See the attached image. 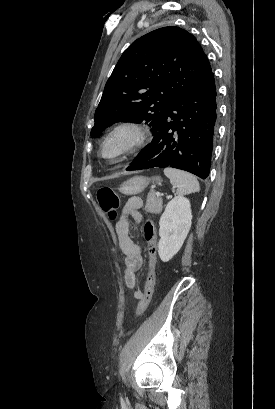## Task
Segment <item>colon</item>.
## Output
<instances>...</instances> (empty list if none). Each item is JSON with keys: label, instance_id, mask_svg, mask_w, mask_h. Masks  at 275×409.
<instances>
[{"label": "colon", "instance_id": "1", "mask_svg": "<svg viewBox=\"0 0 275 409\" xmlns=\"http://www.w3.org/2000/svg\"><path fill=\"white\" fill-rule=\"evenodd\" d=\"M96 199L102 211L110 217H115L121 207V200L110 188H101L97 191ZM143 235L148 242L149 274L144 293L138 303L135 315L141 316L151 302L154 287V275L157 259V235L152 220H147L143 226Z\"/></svg>", "mask_w": 275, "mask_h": 409}]
</instances>
